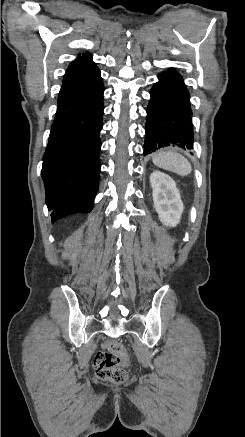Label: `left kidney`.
Masks as SVG:
<instances>
[{
	"mask_svg": "<svg viewBox=\"0 0 245 437\" xmlns=\"http://www.w3.org/2000/svg\"><path fill=\"white\" fill-rule=\"evenodd\" d=\"M150 183L153 189L154 208L158 213L160 221L165 226H177L180 222L184 205L175 181L165 173L154 171L150 175Z\"/></svg>",
	"mask_w": 245,
	"mask_h": 437,
	"instance_id": "5707ae66",
	"label": "left kidney"
}]
</instances>
